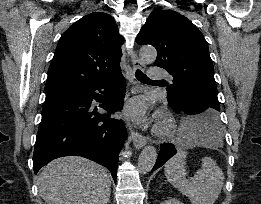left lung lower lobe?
<instances>
[{
	"instance_id": "0a47b994",
	"label": "left lung lower lobe",
	"mask_w": 261,
	"mask_h": 204,
	"mask_svg": "<svg viewBox=\"0 0 261 204\" xmlns=\"http://www.w3.org/2000/svg\"><path fill=\"white\" fill-rule=\"evenodd\" d=\"M176 112H182L183 115L200 114L202 121L199 125L200 133L212 136L214 138L221 135L218 114L214 108L206 102L196 99L187 98L177 105H170ZM176 154V148L171 143H163L160 148L159 156L152 171L160 168L167 160Z\"/></svg>"
}]
</instances>
